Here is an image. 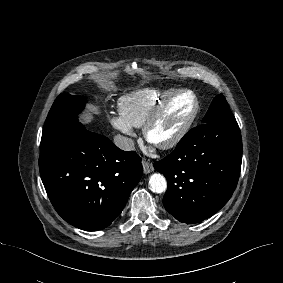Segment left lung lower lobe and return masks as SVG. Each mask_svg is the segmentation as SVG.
I'll use <instances>...</instances> for the list:
<instances>
[{"instance_id":"0a47b994","label":"left lung lower lobe","mask_w":283,"mask_h":283,"mask_svg":"<svg viewBox=\"0 0 283 283\" xmlns=\"http://www.w3.org/2000/svg\"><path fill=\"white\" fill-rule=\"evenodd\" d=\"M241 161L242 139L236 120L191 129L171 154L154 163L168 183L165 209L188 224L214 215L232 196Z\"/></svg>"}]
</instances>
